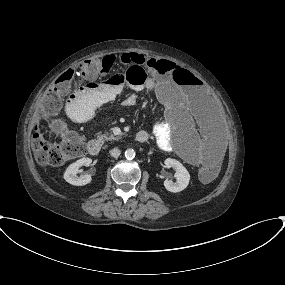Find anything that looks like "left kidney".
Listing matches in <instances>:
<instances>
[{
    "label": "left kidney",
    "instance_id": "5707ae66",
    "mask_svg": "<svg viewBox=\"0 0 285 285\" xmlns=\"http://www.w3.org/2000/svg\"><path fill=\"white\" fill-rule=\"evenodd\" d=\"M164 163L167 168L172 167L176 172L174 175L176 182L166 179L164 181L165 188L174 193L184 190L190 181V174L187 169L179 161L172 158H167Z\"/></svg>",
    "mask_w": 285,
    "mask_h": 285
}]
</instances>
